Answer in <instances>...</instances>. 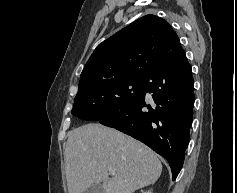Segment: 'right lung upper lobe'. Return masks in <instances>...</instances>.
<instances>
[{
	"instance_id": "right-lung-upper-lobe-1",
	"label": "right lung upper lobe",
	"mask_w": 237,
	"mask_h": 193,
	"mask_svg": "<svg viewBox=\"0 0 237 193\" xmlns=\"http://www.w3.org/2000/svg\"><path fill=\"white\" fill-rule=\"evenodd\" d=\"M181 49L168 22L143 16L97 46L81 73L79 89L106 80L144 78Z\"/></svg>"
}]
</instances>
